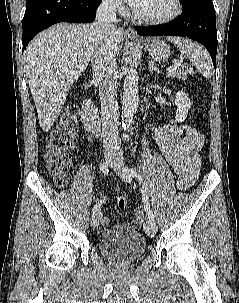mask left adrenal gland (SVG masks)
I'll use <instances>...</instances> for the list:
<instances>
[{"label": "left adrenal gland", "instance_id": "left-adrenal-gland-1", "mask_svg": "<svg viewBox=\"0 0 239 303\" xmlns=\"http://www.w3.org/2000/svg\"><path fill=\"white\" fill-rule=\"evenodd\" d=\"M148 70L150 72L155 71L157 74H159V69L154 65V61H150L148 64Z\"/></svg>", "mask_w": 239, "mask_h": 303}]
</instances>
